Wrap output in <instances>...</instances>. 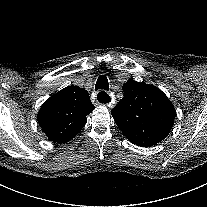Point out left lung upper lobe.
I'll list each match as a JSON object with an SVG mask.
<instances>
[{
    "mask_svg": "<svg viewBox=\"0 0 207 207\" xmlns=\"http://www.w3.org/2000/svg\"><path fill=\"white\" fill-rule=\"evenodd\" d=\"M124 96L111 110L122 133L133 144L142 147L156 145L165 139L173 127L176 111L159 88L136 82L123 84Z\"/></svg>",
    "mask_w": 207,
    "mask_h": 207,
    "instance_id": "5c2ea615",
    "label": "left lung upper lobe"
}]
</instances>
